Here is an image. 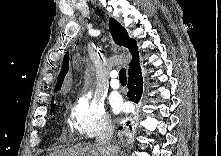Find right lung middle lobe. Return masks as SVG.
Returning <instances> with one entry per match:
<instances>
[{
	"mask_svg": "<svg viewBox=\"0 0 221 156\" xmlns=\"http://www.w3.org/2000/svg\"><path fill=\"white\" fill-rule=\"evenodd\" d=\"M51 108H52L51 112H54V105L53 104L51 105Z\"/></svg>",
	"mask_w": 221,
	"mask_h": 156,
	"instance_id": "obj_1",
	"label": "right lung middle lobe"
}]
</instances>
